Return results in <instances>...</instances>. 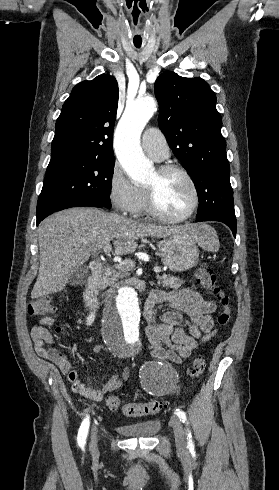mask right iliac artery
Wrapping results in <instances>:
<instances>
[{
    "mask_svg": "<svg viewBox=\"0 0 279 490\" xmlns=\"http://www.w3.org/2000/svg\"><path fill=\"white\" fill-rule=\"evenodd\" d=\"M89 424H90L89 416L87 415L86 418L83 420V422L79 428V431H78L77 442L81 448H84V446H85L86 438H87V434H88V429H89Z\"/></svg>",
    "mask_w": 279,
    "mask_h": 490,
    "instance_id": "82829eb1",
    "label": "right iliac artery"
}]
</instances>
